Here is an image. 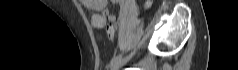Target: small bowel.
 Segmentation results:
<instances>
[{
    "label": "small bowel",
    "instance_id": "c3829d8e",
    "mask_svg": "<svg viewBox=\"0 0 238 70\" xmlns=\"http://www.w3.org/2000/svg\"><path fill=\"white\" fill-rule=\"evenodd\" d=\"M113 3H120L119 0H113ZM81 3L89 11H92L91 23L96 28H102L110 19H117L113 14H108L105 10L106 0H81Z\"/></svg>",
    "mask_w": 238,
    "mask_h": 70
}]
</instances>
